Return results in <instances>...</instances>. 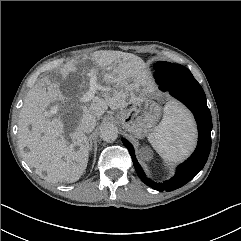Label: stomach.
Masks as SVG:
<instances>
[{
	"label": "stomach",
	"instance_id": "stomach-1",
	"mask_svg": "<svg viewBox=\"0 0 241 241\" xmlns=\"http://www.w3.org/2000/svg\"><path fill=\"white\" fill-rule=\"evenodd\" d=\"M161 116V106L156 97L143 93L128 109L121 110L117 119L124 129L138 138L153 131Z\"/></svg>",
	"mask_w": 241,
	"mask_h": 241
}]
</instances>
